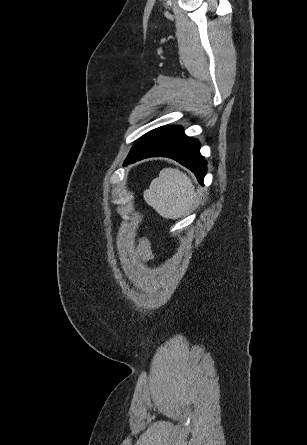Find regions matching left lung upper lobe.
<instances>
[{
    "label": "left lung upper lobe",
    "mask_w": 307,
    "mask_h": 445,
    "mask_svg": "<svg viewBox=\"0 0 307 445\" xmlns=\"http://www.w3.org/2000/svg\"><path fill=\"white\" fill-rule=\"evenodd\" d=\"M162 129H164L163 127H159L156 128L150 132H148L147 134H145L144 136H142L132 147L128 157H130L132 154H134L140 147L141 145L146 142L150 137L154 136L155 134H157L158 132H160ZM127 157V158H128Z\"/></svg>",
    "instance_id": "1"
}]
</instances>
